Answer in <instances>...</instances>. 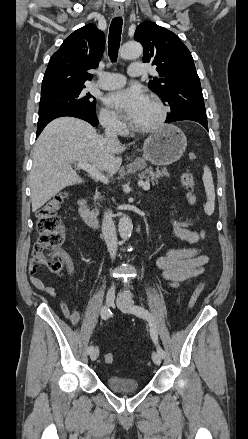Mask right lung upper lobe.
<instances>
[{
	"mask_svg": "<svg viewBox=\"0 0 248 439\" xmlns=\"http://www.w3.org/2000/svg\"><path fill=\"white\" fill-rule=\"evenodd\" d=\"M105 46L104 33L88 24L74 31L49 60L43 77L41 95L85 86L102 57Z\"/></svg>",
	"mask_w": 248,
	"mask_h": 439,
	"instance_id": "obj_1",
	"label": "right lung upper lobe"
}]
</instances>
